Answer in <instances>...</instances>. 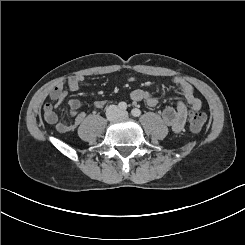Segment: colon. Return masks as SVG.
<instances>
[{"instance_id": "obj_1", "label": "colon", "mask_w": 245, "mask_h": 245, "mask_svg": "<svg viewBox=\"0 0 245 245\" xmlns=\"http://www.w3.org/2000/svg\"><path fill=\"white\" fill-rule=\"evenodd\" d=\"M206 115L203 112H199V111H192L189 115V120H188V126L190 128L191 131L193 132H199L205 122H206Z\"/></svg>"}]
</instances>
